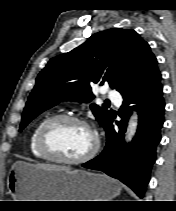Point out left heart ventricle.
<instances>
[{"label":"left heart ventricle","instance_id":"b2bd125f","mask_svg":"<svg viewBox=\"0 0 176 211\" xmlns=\"http://www.w3.org/2000/svg\"><path fill=\"white\" fill-rule=\"evenodd\" d=\"M51 147L65 158H78L86 154L93 145V136L85 127L64 122L54 126L49 134Z\"/></svg>","mask_w":176,"mask_h":211}]
</instances>
